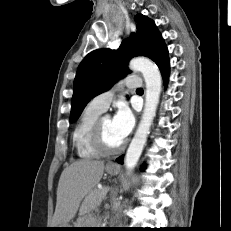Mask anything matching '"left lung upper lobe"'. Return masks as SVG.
<instances>
[{
    "mask_svg": "<svg viewBox=\"0 0 231 231\" xmlns=\"http://www.w3.org/2000/svg\"><path fill=\"white\" fill-rule=\"evenodd\" d=\"M137 31L117 50L97 49L80 63L73 85L70 122L76 121L86 104L108 90L114 82L130 72L127 63L134 56L152 59L164 40L154 22L142 14L135 16Z\"/></svg>",
    "mask_w": 231,
    "mask_h": 231,
    "instance_id": "5c2ea615",
    "label": "left lung upper lobe"
}]
</instances>
